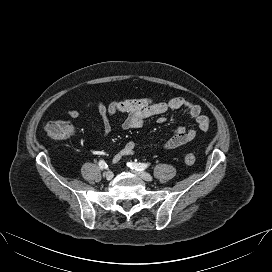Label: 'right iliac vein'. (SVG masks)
<instances>
[{"label":"right iliac vein","instance_id":"right-iliac-vein-1","mask_svg":"<svg viewBox=\"0 0 272 272\" xmlns=\"http://www.w3.org/2000/svg\"><path fill=\"white\" fill-rule=\"evenodd\" d=\"M104 176L107 180H111L113 178V172L109 170L105 172Z\"/></svg>","mask_w":272,"mask_h":272}]
</instances>
